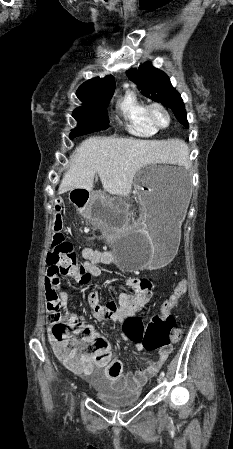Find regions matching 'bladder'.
Segmentation results:
<instances>
[{"label":"bladder","instance_id":"obj_1","mask_svg":"<svg viewBox=\"0 0 233 449\" xmlns=\"http://www.w3.org/2000/svg\"><path fill=\"white\" fill-rule=\"evenodd\" d=\"M93 387L96 397L108 408L121 409L135 405L139 402L141 389L136 387H124L117 389L105 381L94 382Z\"/></svg>","mask_w":233,"mask_h":449}]
</instances>
